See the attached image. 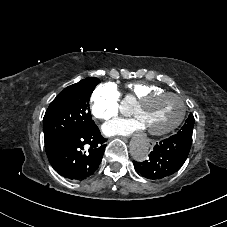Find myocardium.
I'll return each mask as SVG.
<instances>
[{
    "label": "myocardium",
    "mask_w": 227,
    "mask_h": 227,
    "mask_svg": "<svg viewBox=\"0 0 227 227\" xmlns=\"http://www.w3.org/2000/svg\"><path fill=\"white\" fill-rule=\"evenodd\" d=\"M166 95L175 97L180 102L182 111H181L179 118L176 120V122L172 126H170L168 129L163 130V131H147L149 135L154 136V137L166 136L167 134L175 131L177 128L180 127V125L183 123V121L185 120L186 115H187L186 101L183 98V96L180 95L179 93L172 92V91H165V90L147 94L137 100V105H143V104L150 103V102L156 100L157 98L166 96Z\"/></svg>",
    "instance_id": "myocardium-1"
}]
</instances>
